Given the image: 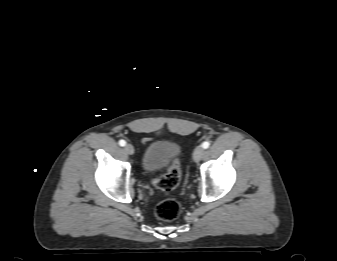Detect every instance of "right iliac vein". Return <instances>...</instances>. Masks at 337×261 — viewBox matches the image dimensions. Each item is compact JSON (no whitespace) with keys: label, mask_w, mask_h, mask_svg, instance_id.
<instances>
[{"label":"right iliac vein","mask_w":337,"mask_h":261,"mask_svg":"<svg viewBox=\"0 0 337 261\" xmlns=\"http://www.w3.org/2000/svg\"><path fill=\"white\" fill-rule=\"evenodd\" d=\"M124 150L129 155H132L134 153V147L131 144H126Z\"/></svg>","instance_id":"1"}]
</instances>
